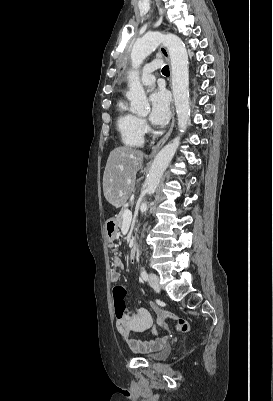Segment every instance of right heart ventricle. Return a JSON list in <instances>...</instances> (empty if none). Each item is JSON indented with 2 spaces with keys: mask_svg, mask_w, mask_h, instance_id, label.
Segmentation results:
<instances>
[{
  "mask_svg": "<svg viewBox=\"0 0 273 401\" xmlns=\"http://www.w3.org/2000/svg\"><path fill=\"white\" fill-rule=\"evenodd\" d=\"M116 127L124 145L140 147L143 145L144 133L140 125V118L127 109L124 99H119L115 105Z\"/></svg>",
  "mask_w": 273,
  "mask_h": 401,
  "instance_id": "1",
  "label": "right heart ventricle"
}]
</instances>
